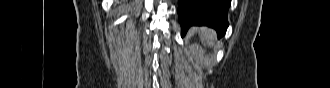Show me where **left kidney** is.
<instances>
[{"mask_svg": "<svg viewBox=\"0 0 330 88\" xmlns=\"http://www.w3.org/2000/svg\"><path fill=\"white\" fill-rule=\"evenodd\" d=\"M190 51H191V54H192L195 62L198 65H201L203 67L210 66V64H211L210 60L208 59V57L205 56V51L200 45H198V44L191 45Z\"/></svg>", "mask_w": 330, "mask_h": 88, "instance_id": "5707ae66", "label": "left kidney"}]
</instances>
